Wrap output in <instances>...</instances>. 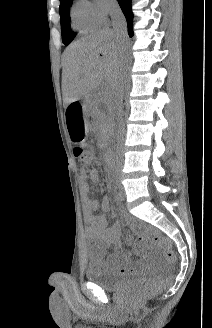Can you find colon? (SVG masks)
Returning <instances> with one entry per match:
<instances>
[{"instance_id": "colon-1", "label": "colon", "mask_w": 212, "mask_h": 328, "mask_svg": "<svg viewBox=\"0 0 212 328\" xmlns=\"http://www.w3.org/2000/svg\"><path fill=\"white\" fill-rule=\"evenodd\" d=\"M82 140V145L81 146H75L74 151L76 157L80 159L82 163H80L79 168L81 173H90L92 165L91 161L94 157V152L90 149H87ZM149 234H151V231H147ZM153 240L159 244L166 252V256L169 261L174 262L176 260V255L175 253L170 249V243L168 240L165 238L154 234L153 235ZM157 284L155 283H147L144 285L142 288H140L136 293H135V298L140 299L148 294H151L155 289H157Z\"/></svg>"}]
</instances>
